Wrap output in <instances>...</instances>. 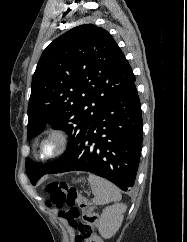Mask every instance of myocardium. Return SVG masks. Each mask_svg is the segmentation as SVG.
I'll return each instance as SVG.
<instances>
[{
	"instance_id": "obj_1",
	"label": "myocardium",
	"mask_w": 187,
	"mask_h": 242,
	"mask_svg": "<svg viewBox=\"0 0 187 242\" xmlns=\"http://www.w3.org/2000/svg\"><path fill=\"white\" fill-rule=\"evenodd\" d=\"M53 140L56 142V150L51 154L43 152V146L47 141ZM69 139L67 133L62 129H51L48 131L38 144V152L43 159H52L61 156L68 148Z\"/></svg>"
}]
</instances>
